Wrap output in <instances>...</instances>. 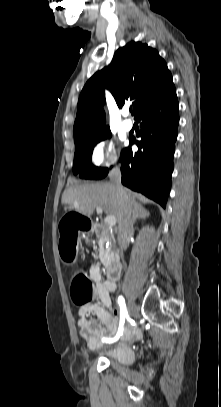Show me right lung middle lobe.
<instances>
[{"label":"right lung middle lobe","mask_w":221,"mask_h":407,"mask_svg":"<svg viewBox=\"0 0 221 407\" xmlns=\"http://www.w3.org/2000/svg\"><path fill=\"white\" fill-rule=\"evenodd\" d=\"M109 137H111L110 130L75 144V155L73 162V173L75 175L79 173L81 178L101 179L108 174V168H98L92 164L91 155L94 146L98 142Z\"/></svg>","instance_id":"dd1d6c3e"}]
</instances>
